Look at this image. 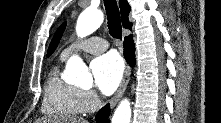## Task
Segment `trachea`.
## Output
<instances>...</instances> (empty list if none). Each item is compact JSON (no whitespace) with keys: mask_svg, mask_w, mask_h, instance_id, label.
<instances>
[{"mask_svg":"<svg viewBox=\"0 0 221 123\" xmlns=\"http://www.w3.org/2000/svg\"><path fill=\"white\" fill-rule=\"evenodd\" d=\"M110 35L115 39L122 38L120 13L116 0H104Z\"/></svg>","mask_w":221,"mask_h":123,"instance_id":"3493384b","label":"trachea"}]
</instances>
